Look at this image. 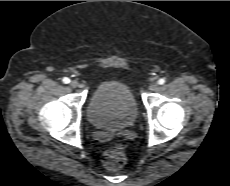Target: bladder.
I'll list each match as a JSON object with an SVG mask.
<instances>
[{"label": "bladder", "instance_id": "obj_1", "mask_svg": "<svg viewBox=\"0 0 230 186\" xmlns=\"http://www.w3.org/2000/svg\"><path fill=\"white\" fill-rule=\"evenodd\" d=\"M87 116L96 128L121 130L136 120L137 105L132 92L124 83L108 80L94 89Z\"/></svg>", "mask_w": 230, "mask_h": 186}]
</instances>
